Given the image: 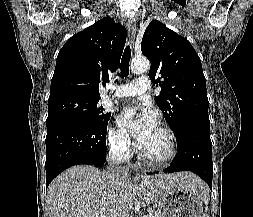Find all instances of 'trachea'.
I'll return each mask as SVG.
<instances>
[{
	"label": "trachea",
	"mask_w": 253,
	"mask_h": 217,
	"mask_svg": "<svg viewBox=\"0 0 253 217\" xmlns=\"http://www.w3.org/2000/svg\"><path fill=\"white\" fill-rule=\"evenodd\" d=\"M130 58H131V49H130V46L127 45L121 59V77L122 78L127 77L129 75Z\"/></svg>",
	"instance_id": "1"
}]
</instances>
